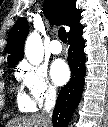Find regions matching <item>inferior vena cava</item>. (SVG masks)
I'll list each match as a JSON object with an SVG mask.
<instances>
[{"label": "inferior vena cava", "mask_w": 108, "mask_h": 127, "mask_svg": "<svg viewBox=\"0 0 108 127\" xmlns=\"http://www.w3.org/2000/svg\"><path fill=\"white\" fill-rule=\"evenodd\" d=\"M45 104L42 111V116L47 124V127H52L51 118H52V111L55 107L56 103V90L54 88H50L45 95Z\"/></svg>", "instance_id": "602c4592"}]
</instances>
